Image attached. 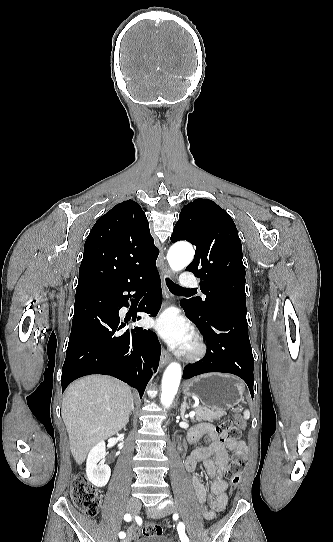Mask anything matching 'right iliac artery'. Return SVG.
Segmentation results:
<instances>
[{"label":"right iliac artery","mask_w":333,"mask_h":542,"mask_svg":"<svg viewBox=\"0 0 333 542\" xmlns=\"http://www.w3.org/2000/svg\"><path fill=\"white\" fill-rule=\"evenodd\" d=\"M124 519H125L126 521L129 522V521L131 520V515H130V514H126V515L124 516ZM125 536H126V534H125L124 532H120V533H119V537H120L121 539H122V538H125Z\"/></svg>","instance_id":"right-iliac-artery-1"}]
</instances>
